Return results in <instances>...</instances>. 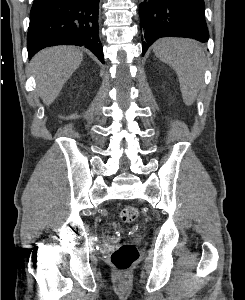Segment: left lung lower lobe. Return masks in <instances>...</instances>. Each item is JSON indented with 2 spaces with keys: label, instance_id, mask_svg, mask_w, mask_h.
I'll use <instances>...</instances> for the list:
<instances>
[{
  "label": "left lung lower lobe",
  "instance_id": "obj_1",
  "mask_svg": "<svg viewBox=\"0 0 245 300\" xmlns=\"http://www.w3.org/2000/svg\"><path fill=\"white\" fill-rule=\"evenodd\" d=\"M203 0H144L139 6L142 55L161 37L209 38Z\"/></svg>",
  "mask_w": 245,
  "mask_h": 300
}]
</instances>
